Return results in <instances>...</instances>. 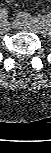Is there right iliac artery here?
<instances>
[{"label": "right iliac artery", "mask_w": 51, "mask_h": 153, "mask_svg": "<svg viewBox=\"0 0 51 153\" xmlns=\"http://www.w3.org/2000/svg\"><path fill=\"white\" fill-rule=\"evenodd\" d=\"M8 10L6 8L0 9V19L2 22L7 21Z\"/></svg>", "instance_id": "obj_1"}]
</instances>
